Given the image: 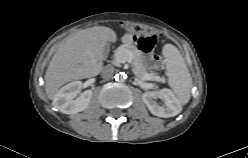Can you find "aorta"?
Wrapping results in <instances>:
<instances>
[{"label":"aorta","mask_w":248,"mask_h":158,"mask_svg":"<svg viewBox=\"0 0 248 158\" xmlns=\"http://www.w3.org/2000/svg\"><path fill=\"white\" fill-rule=\"evenodd\" d=\"M116 78H117V80H119V74H118V76ZM124 79H125V75L121 74L120 75V80H124Z\"/></svg>","instance_id":"1"}]
</instances>
